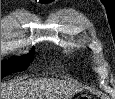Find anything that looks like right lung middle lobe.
Listing matches in <instances>:
<instances>
[{
    "instance_id": "dd1d6c3e",
    "label": "right lung middle lobe",
    "mask_w": 115,
    "mask_h": 99,
    "mask_svg": "<svg viewBox=\"0 0 115 99\" xmlns=\"http://www.w3.org/2000/svg\"><path fill=\"white\" fill-rule=\"evenodd\" d=\"M33 53H34V48L30 51L28 55L14 58L10 62H6V61L1 62V78H3L4 76L10 73L19 72L27 69V67L33 60Z\"/></svg>"
}]
</instances>
